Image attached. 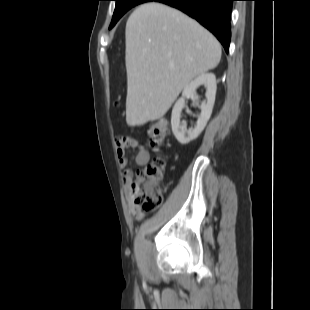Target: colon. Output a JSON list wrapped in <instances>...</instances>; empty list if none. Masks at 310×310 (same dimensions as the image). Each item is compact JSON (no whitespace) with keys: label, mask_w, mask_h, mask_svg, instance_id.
<instances>
[{"label":"colon","mask_w":310,"mask_h":310,"mask_svg":"<svg viewBox=\"0 0 310 310\" xmlns=\"http://www.w3.org/2000/svg\"><path fill=\"white\" fill-rule=\"evenodd\" d=\"M169 133L165 121L152 123L147 129L148 142L154 148H159ZM165 162L156 157L147 167L136 171L129 183V190L134 197L135 205L144 211H153L163 202V191L159 185Z\"/></svg>","instance_id":"5ec220e1"}]
</instances>
